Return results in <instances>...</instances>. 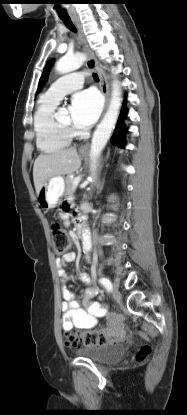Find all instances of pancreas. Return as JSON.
Listing matches in <instances>:
<instances>
[{
    "instance_id": "cf45deb5",
    "label": "pancreas",
    "mask_w": 187,
    "mask_h": 415,
    "mask_svg": "<svg viewBox=\"0 0 187 415\" xmlns=\"http://www.w3.org/2000/svg\"><path fill=\"white\" fill-rule=\"evenodd\" d=\"M73 181H74V178H72L70 175H68L65 179V183H66L65 197L66 198L71 197L73 193L75 192V189L73 188Z\"/></svg>"
}]
</instances>
